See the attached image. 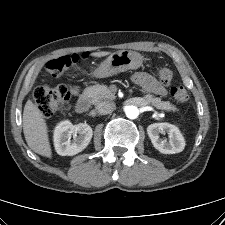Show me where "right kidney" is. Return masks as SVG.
Masks as SVG:
<instances>
[{
    "mask_svg": "<svg viewBox=\"0 0 225 225\" xmlns=\"http://www.w3.org/2000/svg\"><path fill=\"white\" fill-rule=\"evenodd\" d=\"M92 135V128L86 123L73 125L68 120L61 121L54 129L55 150L61 156L76 155L88 146Z\"/></svg>",
    "mask_w": 225,
    "mask_h": 225,
    "instance_id": "1",
    "label": "right kidney"
}]
</instances>
